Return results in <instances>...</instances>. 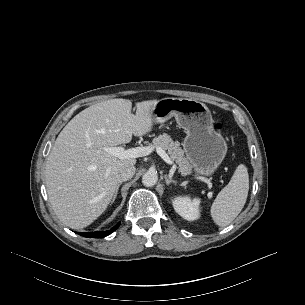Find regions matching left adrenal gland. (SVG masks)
Returning <instances> with one entry per match:
<instances>
[{
  "label": "left adrenal gland",
  "instance_id": "1",
  "mask_svg": "<svg viewBox=\"0 0 305 305\" xmlns=\"http://www.w3.org/2000/svg\"><path fill=\"white\" fill-rule=\"evenodd\" d=\"M165 181H166L167 186H169L170 184L176 185V183H177L176 181L172 180V178L168 177L167 175H165Z\"/></svg>",
  "mask_w": 305,
  "mask_h": 305
}]
</instances>
